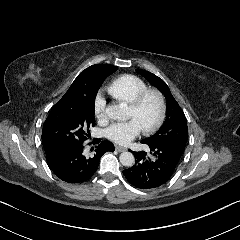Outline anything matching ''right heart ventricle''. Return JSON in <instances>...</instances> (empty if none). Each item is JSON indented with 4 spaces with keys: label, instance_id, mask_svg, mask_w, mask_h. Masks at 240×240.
<instances>
[{
    "label": "right heart ventricle",
    "instance_id": "e07e8e85",
    "mask_svg": "<svg viewBox=\"0 0 240 240\" xmlns=\"http://www.w3.org/2000/svg\"><path fill=\"white\" fill-rule=\"evenodd\" d=\"M145 82L134 75H123L114 80L107 88L109 95L121 104L129 105L143 90Z\"/></svg>",
    "mask_w": 240,
    "mask_h": 240
}]
</instances>
